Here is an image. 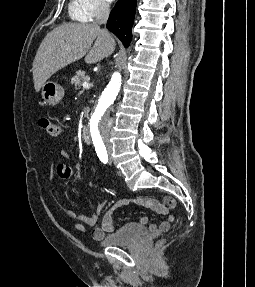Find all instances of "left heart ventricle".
<instances>
[{"label": "left heart ventricle", "mask_w": 255, "mask_h": 287, "mask_svg": "<svg viewBox=\"0 0 255 287\" xmlns=\"http://www.w3.org/2000/svg\"><path fill=\"white\" fill-rule=\"evenodd\" d=\"M94 33H103V32H94ZM91 39H104V38H91ZM89 48H102V47H89Z\"/></svg>", "instance_id": "left-heart-ventricle-1"}]
</instances>
